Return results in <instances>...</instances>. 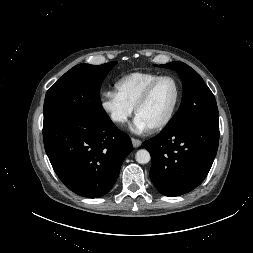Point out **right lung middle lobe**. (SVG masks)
<instances>
[{"label":"right lung middle lobe","instance_id":"dd1d6c3e","mask_svg":"<svg viewBox=\"0 0 253 253\" xmlns=\"http://www.w3.org/2000/svg\"><path fill=\"white\" fill-rule=\"evenodd\" d=\"M116 63L78 64L66 72L46 93L44 125L71 116L89 119L106 115L99 91Z\"/></svg>","mask_w":253,"mask_h":253}]
</instances>
